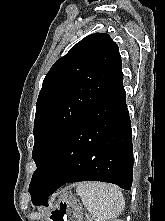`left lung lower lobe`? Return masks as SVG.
Instances as JSON below:
<instances>
[{
  "instance_id": "1",
  "label": "left lung lower lobe",
  "mask_w": 165,
  "mask_h": 221,
  "mask_svg": "<svg viewBox=\"0 0 165 221\" xmlns=\"http://www.w3.org/2000/svg\"><path fill=\"white\" fill-rule=\"evenodd\" d=\"M133 148L122 72L79 119L57 149L35 190L34 205L69 182L102 181L131 190Z\"/></svg>"
}]
</instances>
